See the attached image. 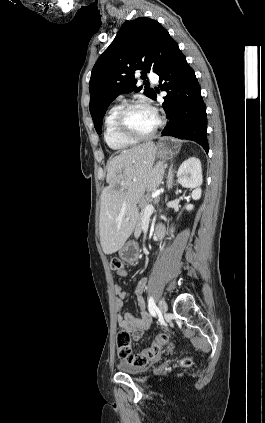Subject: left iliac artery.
Instances as JSON below:
<instances>
[{
  "label": "left iliac artery",
  "instance_id": "left-iliac-artery-1",
  "mask_svg": "<svg viewBox=\"0 0 265 423\" xmlns=\"http://www.w3.org/2000/svg\"><path fill=\"white\" fill-rule=\"evenodd\" d=\"M148 309L152 316H156V312H155L156 305H155L153 297L151 296L148 299Z\"/></svg>",
  "mask_w": 265,
  "mask_h": 423
}]
</instances>
